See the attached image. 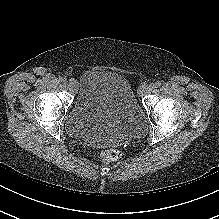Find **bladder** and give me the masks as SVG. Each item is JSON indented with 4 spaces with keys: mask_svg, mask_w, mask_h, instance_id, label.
Returning <instances> with one entry per match:
<instances>
[{
    "mask_svg": "<svg viewBox=\"0 0 219 219\" xmlns=\"http://www.w3.org/2000/svg\"><path fill=\"white\" fill-rule=\"evenodd\" d=\"M76 83V98L65 118L72 137L113 144L145 131V111L125 77L88 70Z\"/></svg>",
    "mask_w": 219,
    "mask_h": 219,
    "instance_id": "1",
    "label": "bladder"
}]
</instances>
